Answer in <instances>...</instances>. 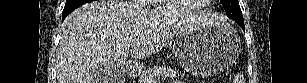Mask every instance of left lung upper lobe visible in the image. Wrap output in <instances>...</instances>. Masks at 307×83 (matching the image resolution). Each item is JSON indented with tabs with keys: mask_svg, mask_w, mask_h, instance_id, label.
Instances as JSON below:
<instances>
[{
	"mask_svg": "<svg viewBox=\"0 0 307 83\" xmlns=\"http://www.w3.org/2000/svg\"><path fill=\"white\" fill-rule=\"evenodd\" d=\"M220 1L224 6L226 14L229 18L235 20L237 23H244L238 0H220Z\"/></svg>",
	"mask_w": 307,
	"mask_h": 83,
	"instance_id": "1",
	"label": "left lung upper lobe"
}]
</instances>
